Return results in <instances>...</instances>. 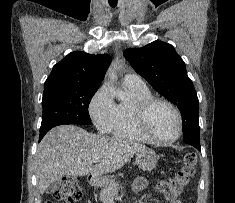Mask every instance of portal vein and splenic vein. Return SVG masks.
<instances>
[{
  "mask_svg": "<svg viewBox=\"0 0 235 203\" xmlns=\"http://www.w3.org/2000/svg\"><path fill=\"white\" fill-rule=\"evenodd\" d=\"M100 158H95L94 162H99Z\"/></svg>",
  "mask_w": 235,
  "mask_h": 203,
  "instance_id": "obj_1",
  "label": "portal vein and splenic vein"
}]
</instances>
